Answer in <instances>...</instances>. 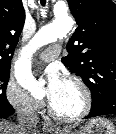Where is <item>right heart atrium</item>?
Here are the masks:
<instances>
[{"label":"right heart atrium","mask_w":116,"mask_h":134,"mask_svg":"<svg viewBox=\"0 0 116 134\" xmlns=\"http://www.w3.org/2000/svg\"><path fill=\"white\" fill-rule=\"evenodd\" d=\"M7 103L18 113L35 115L43 107L40 99L31 96L22 86L10 79L5 87Z\"/></svg>","instance_id":"d8ad5b80"}]
</instances>
